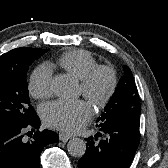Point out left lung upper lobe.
Here are the masks:
<instances>
[{
	"mask_svg": "<svg viewBox=\"0 0 168 168\" xmlns=\"http://www.w3.org/2000/svg\"><path fill=\"white\" fill-rule=\"evenodd\" d=\"M124 75L120 79L115 93L105 107V112L97 119L101 121L109 116L129 114L140 117L141 106L138 90L128 66L124 65Z\"/></svg>",
	"mask_w": 168,
	"mask_h": 168,
	"instance_id": "obj_1",
	"label": "left lung upper lobe"
}]
</instances>
